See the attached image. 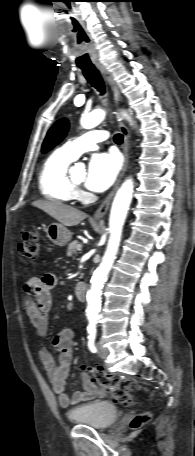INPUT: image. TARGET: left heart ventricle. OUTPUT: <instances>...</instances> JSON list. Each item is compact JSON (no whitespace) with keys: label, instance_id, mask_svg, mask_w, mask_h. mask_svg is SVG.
Listing matches in <instances>:
<instances>
[{"label":"left heart ventricle","instance_id":"left-heart-ventricle-1","mask_svg":"<svg viewBox=\"0 0 195 456\" xmlns=\"http://www.w3.org/2000/svg\"><path fill=\"white\" fill-rule=\"evenodd\" d=\"M72 179L76 182V183H82L85 179V172L84 171H79V172H76L73 176H72Z\"/></svg>","mask_w":195,"mask_h":456}]
</instances>
